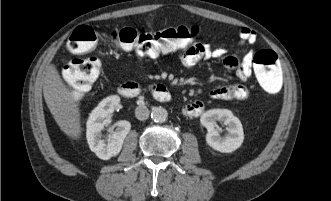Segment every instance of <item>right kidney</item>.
<instances>
[{
    "mask_svg": "<svg viewBox=\"0 0 331 201\" xmlns=\"http://www.w3.org/2000/svg\"><path fill=\"white\" fill-rule=\"evenodd\" d=\"M120 98L117 95L103 99L98 106L92 110L87 120V142L96 156L102 160H108L119 154L122 149L124 139L131 129V124L127 120L116 123V130L104 140L102 130L108 125V116L114 112L119 104Z\"/></svg>",
    "mask_w": 331,
    "mask_h": 201,
    "instance_id": "right-kidney-1",
    "label": "right kidney"
}]
</instances>
